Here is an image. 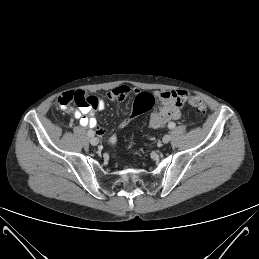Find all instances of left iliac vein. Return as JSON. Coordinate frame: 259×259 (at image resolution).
Returning <instances> with one entry per match:
<instances>
[{
  "instance_id": "left-iliac-vein-1",
  "label": "left iliac vein",
  "mask_w": 259,
  "mask_h": 259,
  "mask_svg": "<svg viewBox=\"0 0 259 259\" xmlns=\"http://www.w3.org/2000/svg\"><path fill=\"white\" fill-rule=\"evenodd\" d=\"M170 138H171L170 135L168 134L164 135L162 139L163 143L165 144L168 143L170 141Z\"/></svg>"
}]
</instances>
